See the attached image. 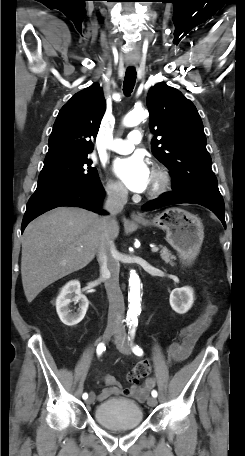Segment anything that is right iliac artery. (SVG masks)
Returning <instances> with one entry per match:
<instances>
[{
    "mask_svg": "<svg viewBox=\"0 0 245 456\" xmlns=\"http://www.w3.org/2000/svg\"><path fill=\"white\" fill-rule=\"evenodd\" d=\"M105 349H106V347H105L104 343H99L98 346H97L96 352L100 356L103 353V351H105ZM82 398L83 399H87L88 398V394L84 393L82 395Z\"/></svg>",
    "mask_w": 245,
    "mask_h": 456,
    "instance_id": "82829eb1",
    "label": "right iliac artery"
}]
</instances>
